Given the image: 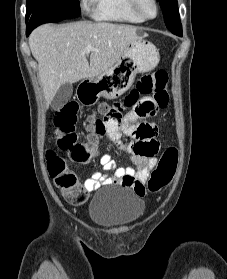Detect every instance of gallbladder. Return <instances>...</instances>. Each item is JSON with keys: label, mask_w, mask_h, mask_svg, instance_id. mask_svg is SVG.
Wrapping results in <instances>:
<instances>
[{"label": "gallbladder", "mask_w": 227, "mask_h": 279, "mask_svg": "<svg viewBox=\"0 0 227 279\" xmlns=\"http://www.w3.org/2000/svg\"><path fill=\"white\" fill-rule=\"evenodd\" d=\"M73 93V86L71 83H64L61 85L56 92L52 102L51 107L54 110L61 109L65 104L68 103Z\"/></svg>", "instance_id": "obj_1"}]
</instances>
